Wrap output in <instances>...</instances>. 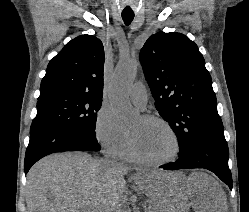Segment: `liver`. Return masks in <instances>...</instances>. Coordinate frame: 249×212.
Masks as SVG:
<instances>
[{
	"mask_svg": "<svg viewBox=\"0 0 249 212\" xmlns=\"http://www.w3.org/2000/svg\"><path fill=\"white\" fill-rule=\"evenodd\" d=\"M127 166L94 160L85 152L51 154L36 162L26 178L28 212H115L126 190ZM161 212H228L219 182L205 172L140 170L132 176ZM174 206V210H172Z\"/></svg>",
	"mask_w": 249,
	"mask_h": 212,
	"instance_id": "liver-1",
	"label": "liver"
}]
</instances>
